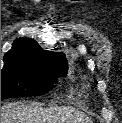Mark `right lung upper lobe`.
I'll return each mask as SVG.
<instances>
[{
    "instance_id": "right-lung-upper-lobe-1",
    "label": "right lung upper lobe",
    "mask_w": 122,
    "mask_h": 123,
    "mask_svg": "<svg viewBox=\"0 0 122 123\" xmlns=\"http://www.w3.org/2000/svg\"><path fill=\"white\" fill-rule=\"evenodd\" d=\"M5 61H19L36 66H67L65 55L44 50L33 39L18 38L4 56Z\"/></svg>"
}]
</instances>
